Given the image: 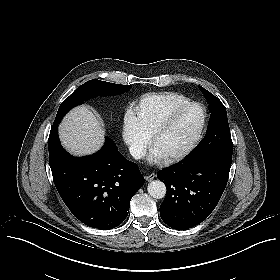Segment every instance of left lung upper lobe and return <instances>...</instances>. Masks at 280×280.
Instances as JSON below:
<instances>
[{
	"label": "left lung upper lobe",
	"instance_id": "1",
	"mask_svg": "<svg viewBox=\"0 0 280 280\" xmlns=\"http://www.w3.org/2000/svg\"><path fill=\"white\" fill-rule=\"evenodd\" d=\"M199 88L207 98L211 114L206 135L189 160L198 161L211 158L232 160L233 143L228 125L226 108L222 102L209 91L201 86H199Z\"/></svg>",
	"mask_w": 280,
	"mask_h": 280
}]
</instances>
